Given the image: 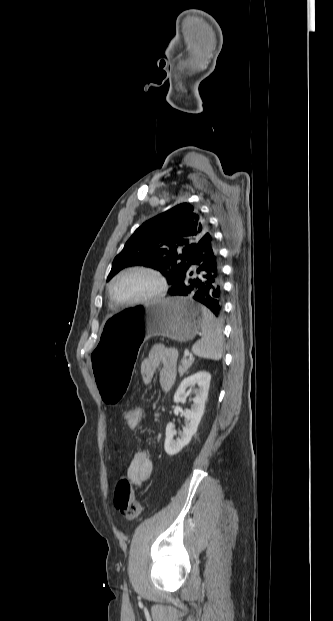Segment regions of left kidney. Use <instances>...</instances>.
Listing matches in <instances>:
<instances>
[{
	"instance_id": "obj_1",
	"label": "left kidney",
	"mask_w": 333,
	"mask_h": 621,
	"mask_svg": "<svg viewBox=\"0 0 333 621\" xmlns=\"http://www.w3.org/2000/svg\"><path fill=\"white\" fill-rule=\"evenodd\" d=\"M211 375L208 372H198L192 376L185 378L174 394V402L179 403L185 399V392L188 388H193L195 397L191 409L184 413L185 426L180 433V438L174 440V424H167L166 438L164 449L170 456L179 453L190 441L196 433L198 425L204 414L205 402L208 397ZM196 386V387H195Z\"/></svg>"
}]
</instances>
